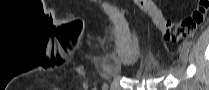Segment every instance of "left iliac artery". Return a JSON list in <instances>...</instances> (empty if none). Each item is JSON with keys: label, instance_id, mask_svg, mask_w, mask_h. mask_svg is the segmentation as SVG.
Instances as JSON below:
<instances>
[{"label": "left iliac artery", "instance_id": "44dca946", "mask_svg": "<svg viewBox=\"0 0 209 90\" xmlns=\"http://www.w3.org/2000/svg\"><path fill=\"white\" fill-rule=\"evenodd\" d=\"M183 46L187 49V51H189L191 48L190 43L188 41H184Z\"/></svg>", "mask_w": 209, "mask_h": 90}]
</instances>
